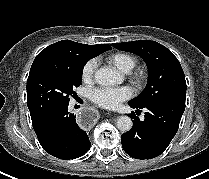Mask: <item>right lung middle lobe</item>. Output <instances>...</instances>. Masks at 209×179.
<instances>
[{
	"label": "right lung middle lobe",
	"instance_id": "dd1d6c3e",
	"mask_svg": "<svg viewBox=\"0 0 209 179\" xmlns=\"http://www.w3.org/2000/svg\"><path fill=\"white\" fill-rule=\"evenodd\" d=\"M86 55L65 63L32 65L27 79V106L32 122L54 108L69 103L74 88L81 85Z\"/></svg>",
	"mask_w": 209,
	"mask_h": 179
}]
</instances>
